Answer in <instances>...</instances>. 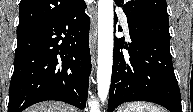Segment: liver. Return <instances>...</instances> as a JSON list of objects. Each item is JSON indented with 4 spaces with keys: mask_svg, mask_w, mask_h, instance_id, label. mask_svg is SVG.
<instances>
[{
    "mask_svg": "<svg viewBox=\"0 0 193 112\" xmlns=\"http://www.w3.org/2000/svg\"><path fill=\"white\" fill-rule=\"evenodd\" d=\"M71 110L72 109L64 103L45 102L26 109L25 112H70Z\"/></svg>",
    "mask_w": 193,
    "mask_h": 112,
    "instance_id": "obj_1",
    "label": "liver"
}]
</instances>
